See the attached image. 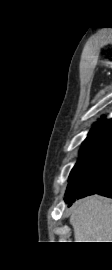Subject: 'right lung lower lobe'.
Segmentation results:
<instances>
[{"label": "right lung lower lobe", "instance_id": "obj_1", "mask_svg": "<svg viewBox=\"0 0 112 270\" xmlns=\"http://www.w3.org/2000/svg\"><path fill=\"white\" fill-rule=\"evenodd\" d=\"M81 182L85 188V193L76 199L92 194H100L112 198V146L100 164L85 175ZM75 200L66 201V203H68V206H71Z\"/></svg>", "mask_w": 112, "mask_h": 270}]
</instances>
